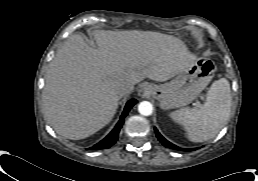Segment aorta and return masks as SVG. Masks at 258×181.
Returning a JSON list of instances; mask_svg holds the SVG:
<instances>
[{"mask_svg":"<svg viewBox=\"0 0 258 181\" xmlns=\"http://www.w3.org/2000/svg\"><path fill=\"white\" fill-rule=\"evenodd\" d=\"M138 111L143 116H149L153 112V106L148 101H142L138 105Z\"/></svg>","mask_w":258,"mask_h":181,"instance_id":"1","label":"aorta"}]
</instances>
